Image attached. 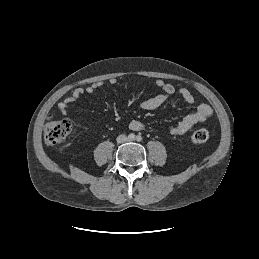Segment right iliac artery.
<instances>
[{
	"instance_id": "82829eb1",
	"label": "right iliac artery",
	"mask_w": 259,
	"mask_h": 259,
	"mask_svg": "<svg viewBox=\"0 0 259 259\" xmlns=\"http://www.w3.org/2000/svg\"><path fill=\"white\" fill-rule=\"evenodd\" d=\"M128 138L131 139V140H133V139H135V135H134L133 133H130V134L128 135Z\"/></svg>"
}]
</instances>
